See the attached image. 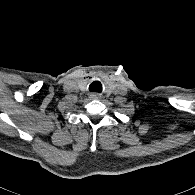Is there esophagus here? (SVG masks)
Here are the masks:
<instances>
[{
  "label": "esophagus",
  "instance_id": "obj_1",
  "mask_svg": "<svg viewBox=\"0 0 195 195\" xmlns=\"http://www.w3.org/2000/svg\"><path fill=\"white\" fill-rule=\"evenodd\" d=\"M91 96H92L93 98H98L97 94H95V93H92Z\"/></svg>",
  "mask_w": 195,
  "mask_h": 195
}]
</instances>
